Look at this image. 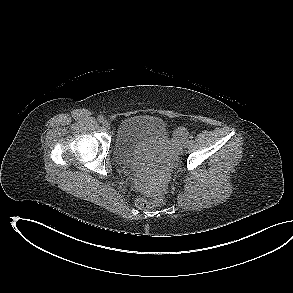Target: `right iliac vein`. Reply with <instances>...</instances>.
I'll list each match as a JSON object with an SVG mask.
<instances>
[{
	"instance_id": "63e3f726",
	"label": "right iliac vein",
	"mask_w": 293,
	"mask_h": 293,
	"mask_svg": "<svg viewBox=\"0 0 293 293\" xmlns=\"http://www.w3.org/2000/svg\"><path fill=\"white\" fill-rule=\"evenodd\" d=\"M103 126H104V128H106V129H110V123H109L107 120H105V121L103 122Z\"/></svg>"
}]
</instances>
